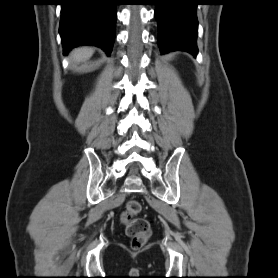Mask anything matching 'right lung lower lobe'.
<instances>
[{
  "label": "right lung lower lobe",
  "mask_w": 278,
  "mask_h": 278,
  "mask_svg": "<svg viewBox=\"0 0 278 278\" xmlns=\"http://www.w3.org/2000/svg\"><path fill=\"white\" fill-rule=\"evenodd\" d=\"M59 32L64 54L94 45L110 54L115 36V0H61Z\"/></svg>",
  "instance_id": "right-lung-lower-lobe-1"
}]
</instances>
